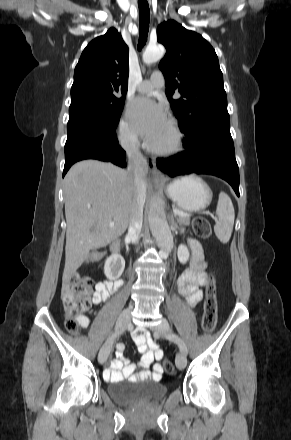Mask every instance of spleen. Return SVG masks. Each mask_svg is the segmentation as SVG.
<instances>
[{
	"mask_svg": "<svg viewBox=\"0 0 291 440\" xmlns=\"http://www.w3.org/2000/svg\"><path fill=\"white\" fill-rule=\"evenodd\" d=\"M218 220L214 232L222 243H227L231 237L235 212L230 197L225 192H220L216 208Z\"/></svg>",
	"mask_w": 291,
	"mask_h": 440,
	"instance_id": "1",
	"label": "spleen"
}]
</instances>
